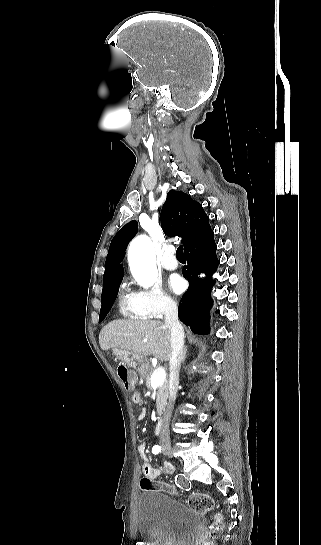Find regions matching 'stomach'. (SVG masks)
I'll list each match as a JSON object with an SVG mask.
<instances>
[{"instance_id": "obj_1", "label": "stomach", "mask_w": 321, "mask_h": 545, "mask_svg": "<svg viewBox=\"0 0 321 545\" xmlns=\"http://www.w3.org/2000/svg\"><path fill=\"white\" fill-rule=\"evenodd\" d=\"M112 353L115 355L116 359H119L122 363H126L131 369H135L139 375H144L150 367L148 357L135 355V353L123 351V349H112Z\"/></svg>"}]
</instances>
